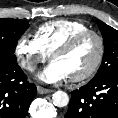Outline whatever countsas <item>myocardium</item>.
Wrapping results in <instances>:
<instances>
[{
  "mask_svg": "<svg viewBox=\"0 0 118 118\" xmlns=\"http://www.w3.org/2000/svg\"><path fill=\"white\" fill-rule=\"evenodd\" d=\"M87 37H93L96 40L97 46H98L97 56L92 66L85 73L77 75V76L69 77V80L71 82L86 81L90 79L91 77H93L94 74L98 71V69L100 68L104 60L105 51H106L105 41L103 37L94 30H90V29L84 30L82 32H79L73 35L69 39H67L64 43H62L59 47H57L51 54V59L53 60L55 56L60 55V54H65L71 51L73 48H75L80 42H82Z\"/></svg>",
  "mask_w": 118,
  "mask_h": 118,
  "instance_id": "myocardium-1",
  "label": "myocardium"
}]
</instances>
